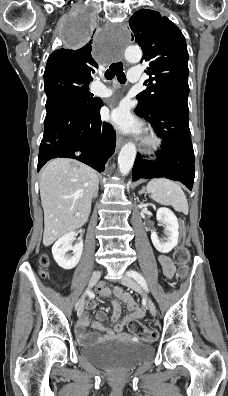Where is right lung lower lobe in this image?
<instances>
[{
	"mask_svg": "<svg viewBox=\"0 0 228 396\" xmlns=\"http://www.w3.org/2000/svg\"><path fill=\"white\" fill-rule=\"evenodd\" d=\"M101 99L89 106L68 105L46 115L37 170L50 159L66 157L79 160L99 172L113 154L116 134L100 119Z\"/></svg>",
	"mask_w": 228,
	"mask_h": 396,
	"instance_id": "98d812e1",
	"label": "right lung lower lobe"
}]
</instances>
